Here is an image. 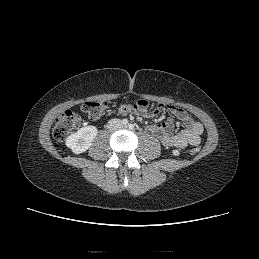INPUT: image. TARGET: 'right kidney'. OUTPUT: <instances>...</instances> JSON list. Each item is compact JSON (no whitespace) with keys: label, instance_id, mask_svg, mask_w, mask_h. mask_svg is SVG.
<instances>
[{"label":"right kidney","instance_id":"right-kidney-1","mask_svg":"<svg viewBox=\"0 0 259 259\" xmlns=\"http://www.w3.org/2000/svg\"><path fill=\"white\" fill-rule=\"evenodd\" d=\"M98 130L95 126H85L71 134L66 139V146L76 154L85 152L92 145Z\"/></svg>","mask_w":259,"mask_h":259}]
</instances>
